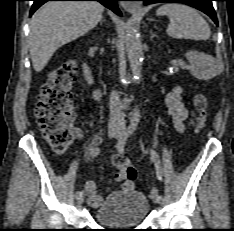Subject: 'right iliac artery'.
I'll return each instance as SVG.
<instances>
[{
  "mask_svg": "<svg viewBox=\"0 0 234 231\" xmlns=\"http://www.w3.org/2000/svg\"><path fill=\"white\" fill-rule=\"evenodd\" d=\"M100 153V148L98 146H94L90 149V155L91 156H97ZM83 193L81 191H77L75 196L78 197L79 195H82Z\"/></svg>",
  "mask_w": 234,
  "mask_h": 231,
  "instance_id": "1",
  "label": "right iliac artery"
}]
</instances>
